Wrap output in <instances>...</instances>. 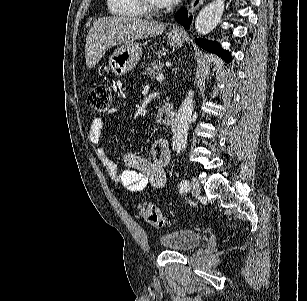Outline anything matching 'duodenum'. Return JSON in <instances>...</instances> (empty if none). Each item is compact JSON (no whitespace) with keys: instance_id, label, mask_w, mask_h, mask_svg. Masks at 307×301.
Listing matches in <instances>:
<instances>
[{"instance_id":"obj_1","label":"duodenum","mask_w":307,"mask_h":301,"mask_svg":"<svg viewBox=\"0 0 307 301\" xmlns=\"http://www.w3.org/2000/svg\"><path fill=\"white\" fill-rule=\"evenodd\" d=\"M175 119L174 106L170 102H165L161 106L157 114V121L163 125H170Z\"/></svg>"}]
</instances>
